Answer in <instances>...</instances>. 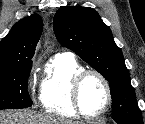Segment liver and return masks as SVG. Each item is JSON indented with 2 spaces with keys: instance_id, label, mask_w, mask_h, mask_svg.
<instances>
[{
  "instance_id": "liver-1",
  "label": "liver",
  "mask_w": 145,
  "mask_h": 124,
  "mask_svg": "<svg viewBox=\"0 0 145 124\" xmlns=\"http://www.w3.org/2000/svg\"><path fill=\"white\" fill-rule=\"evenodd\" d=\"M0 124H79V122L33 111H9L0 112Z\"/></svg>"
}]
</instances>
